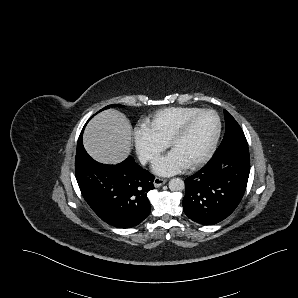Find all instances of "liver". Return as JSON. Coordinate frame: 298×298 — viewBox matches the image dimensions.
Returning a JSON list of instances; mask_svg holds the SVG:
<instances>
[{
	"label": "liver",
	"instance_id": "liver-1",
	"mask_svg": "<svg viewBox=\"0 0 298 298\" xmlns=\"http://www.w3.org/2000/svg\"><path fill=\"white\" fill-rule=\"evenodd\" d=\"M132 128L119 110L109 108L97 113L86 125L82 143L88 155L106 165L124 162L131 154Z\"/></svg>",
	"mask_w": 298,
	"mask_h": 298
}]
</instances>
